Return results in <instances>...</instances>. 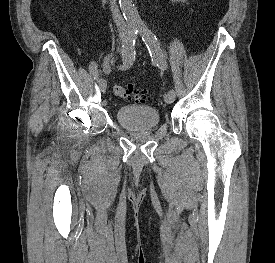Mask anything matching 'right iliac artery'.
Wrapping results in <instances>:
<instances>
[{
	"instance_id": "right-iliac-artery-1",
	"label": "right iliac artery",
	"mask_w": 275,
	"mask_h": 263,
	"mask_svg": "<svg viewBox=\"0 0 275 263\" xmlns=\"http://www.w3.org/2000/svg\"><path fill=\"white\" fill-rule=\"evenodd\" d=\"M137 29L133 28L130 30L129 37L125 40L124 43H122V69H128L132 66L134 60H135V41L137 38ZM89 72L91 76L97 80L99 78V73L97 69V65L95 62H91L89 65Z\"/></svg>"
}]
</instances>
